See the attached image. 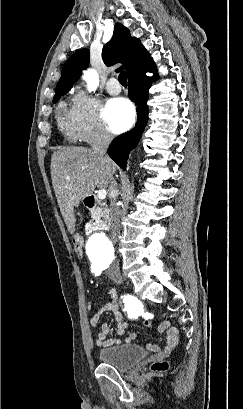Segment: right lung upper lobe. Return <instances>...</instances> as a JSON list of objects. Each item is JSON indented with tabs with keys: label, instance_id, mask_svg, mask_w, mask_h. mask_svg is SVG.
I'll list each match as a JSON object with an SVG mask.
<instances>
[{
	"label": "right lung upper lobe",
	"instance_id": "1",
	"mask_svg": "<svg viewBox=\"0 0 243 409\" xmlns=\"http://www.w3.org/2000/svg\"><path fill=\"white\" fill-rule=\"evenodd\" d=\"M102 58L106 65L122 63L117 71L125 69L128 79L155 68V64L139 39L132 37L122 24L114 26L112 39L103 47ZM89 65V50L74 53L63 65L61 78L56 87L57 94L67 93L78 79L81 70Z\"/></svg>",
	"mask_w": 243,
	"mask_h": 409
}]
</instances>
